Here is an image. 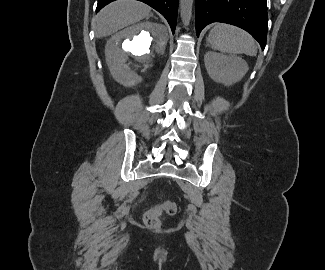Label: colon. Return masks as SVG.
I'll list each match as a JSON object with an SVG mask.
<instances>
[{
  "instance_id": "obj_1",
  "label": "colon",
  "mask_w": 325,
  "mask_h": 270,
  "mask_svg": "<svg viewBox=\"0 0 325 270\" xmlns=\"http://www.w3.org/2000/svg\"><path fill=\"white\" fill-rule=\"evenodd\" d=\"M177 211V205L171 200H165L146 211L144 222L150 228L160 226V217L163 213L174 215Z\"/></svg>"
}]
</instances>
